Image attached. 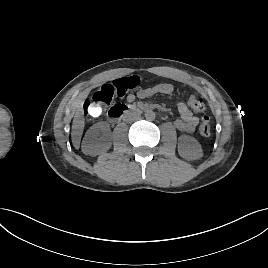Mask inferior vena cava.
Returning <instances> with one entry per match:
<instances>
[{
	"label": "inferior vena cava",
	"mask_w": 268,
	"mask_h": 268,
	"mask_svg": "<svg viewBox=\"0 0 268 268\" xmlns=\"http://www.w3.org/2000/svg\"><path fill=\"white\" fill-rule=\"evenodd\" d=\"M137 119H139V115L134 112H128L124 116V120L126 122H133L136 121Z\"/></svg>",
	"instance_id": "obj_1"
}]
</instances>
